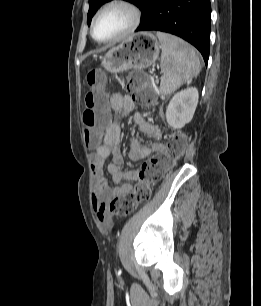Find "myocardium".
I'll list each match as a JSON object with an SVG mask.
<instances>
[{
    "label": "myocardium",
    "mask_w": 261,
    "mask_h": 306,
    "mask_svg": "<svg viewBox=\"0 0 261 306\" xmlns=\"http://www.w3.org/2000/svg\"><path fill=\"white\" fill-rule=\"evenodd\" d=\"M112 7H123L125 9H127L130 14H131V22L129 24V26L119 35L114 36L112 38L109 39H105V40H99L98 38H96L95 36V27H96V23L99 19V17L108 9L112 8ZM142 19V12L141 9L139 8V6L137 4H135L133 1L131 0H111L109 2H107L106 4H104L94 15L93 19H92V23H91V27H90V33L92 38L99 42V43H112L115 41H118L122 38L127 37L128 35H130L131 33H133L138 26L140 25Z\"/></svg>",
    "instance_id": "obj_1"
}]
</instances>
